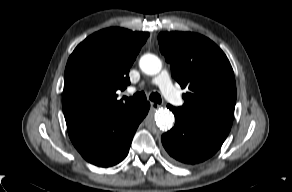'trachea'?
<instances>
[{
    "label": "trachea",
    "instance_id": "trachea-1",
    "mask_svg": "<svg viewBox=\"0 0 292 192\" xmlns=\"http://www.w3.org/2000/svg\"><path fill=\"white\" fill-rule=\"evenodd\" d=\"M124 99L131 103H139L146 100V95L144 94V92H138L132 97H124ZM150 100L156 103H161V96L158 93H152L150 95Z\"/></svg>",
    "mask_w": 292,
    "mask_h": 192
}]
</instances>
